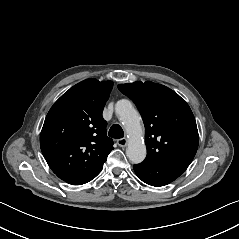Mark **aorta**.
Wrapping results in <instances>:
<instances>
[{"label": "aorta", "instance_id": "aorta-1", "mask_svg": "<svg viewBox=\"0 0 239 239\" xmlns=\"http://www.w3.org/2000/svg\"><path fill=\"white\" fill-rule=\"evenodd\" d=\"M115 113L122 121L130 141L126 148V156L134 164L142 162L146 157L147 150L146 145L141 140L143 128L140 115L127 99L119 100L116 103Z\"/></svg>", "mask_w": 239, "mask_h": 239}]
</instances>
